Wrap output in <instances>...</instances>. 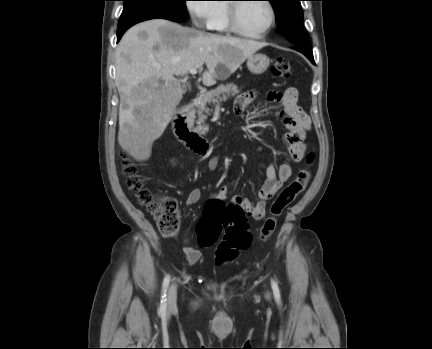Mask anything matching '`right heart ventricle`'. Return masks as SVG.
<instances>
[{
	"label": "right heart ventricle",
	"instance_id": "1",
	"mask_svg": "<svg viewBox=\"0 0 432 349\" xmlns=\"http://www.w3.org/2000/svg\"><path fill=\"white\" fill-rule=\"evenodd\" d=\"M215 11L209 23V29L218 33H228L227 5L223 1L215 3Z\"/></svg>",
	"mask_w": 432,
	"mask_h": 349
}]
</instances>
